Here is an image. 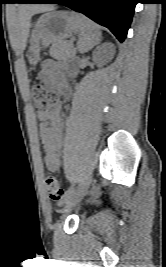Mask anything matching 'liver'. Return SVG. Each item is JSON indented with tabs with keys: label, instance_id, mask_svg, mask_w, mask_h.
Returning <instances> with one entry per match:
<instances>
[{
	"label": "liver",
	"instance_id": "6515ba94",
	"mask_svg": "<svg viewBox=\"0 0 166 267\" xmlns=\"http://www.w3.org/2000/svg\"><path fill=\"white\" fill-rule=\"evenodd\" d=\"M54 9V6L51 5L21 6L13 25V36L11 37L13 47L21 51L25 49L30 29V20L33 15L53 11Z\"/></svg>",
	"mask_w": 166,
	"mask_h": 267
}]
</instances>
